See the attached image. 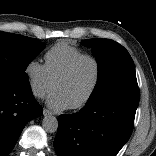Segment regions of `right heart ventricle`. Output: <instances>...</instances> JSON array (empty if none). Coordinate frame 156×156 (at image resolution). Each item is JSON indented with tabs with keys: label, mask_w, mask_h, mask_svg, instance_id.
Instances as JSON below:
<instances>
[{
	"label": "right heart ventricle",
	"mask_w": 156,
	"mask_h": 156,
	"mask_svg": "<svg viewBox=\"0 0 156 156\" xmlns=\"http://www.w3.org/2000/svg\"><path fill=\"white\" fill-rule=\"evenodd\" d=\"M82 54V50L65 41L53 45L45 54V67L50 79L55 82L68 65Z\"/></svg>",
	"instance_id": "e07e8e85"
}]
</instances>
